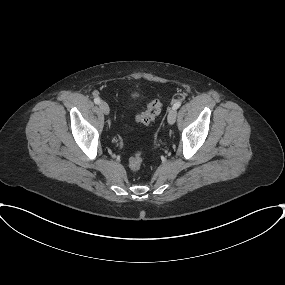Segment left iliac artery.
I'll use <instances>...</instances> for the list:
<instances>
[{"instance_id":"obj_1","label":"left iliac artery","mask_w":285,"mask_h":285,"mask_svg":"<svg viewBox=\"0 0 285 285\" xmlns=\"http://www.w3.org/2000/svg\"><path fill=\"white\" fill-rule=\"evenodd\" d=\"M181 106V101H177L173 105V109H178Z\"/></svg>"}]
</instances>
